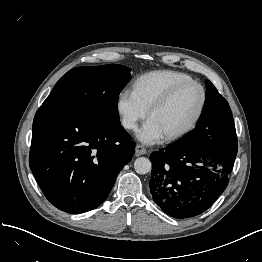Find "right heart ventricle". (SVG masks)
Here are the masks:
<instances>
[{
  "instance_id": "obj_1",
  "label": "right heart ventricle",
  "mask_w": 262,
  "mask_h": 262,
  "mask_svg": "<svg viewBox=\"0 0 262 262\" xmlns=\"http://www.w3.org/2000/svg\"><path fill=\"white\" fill-rule=\"evenodd\" d=\"M192 78L182 72L172 70H158L139 77L133 84L135 97L148 111L173 86Z\"/></svg>"
}]
</instances>
